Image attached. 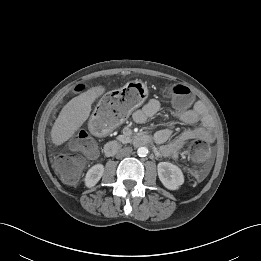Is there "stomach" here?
I'll list each match as a JSON object with an SVG mask.
<instances>
[{"label":"stomach","mask_w":261,"mask_h":261,"mask_svg":"<svg viewBox=\"0 0 261 261\" xmlns=\"http://www.w3.org/2000/svg\"><path fill=\"white\" fill-rule=\"evenodd\" d=\"M148 89L147 86L139 80L128 82L123 89L120 90V97L127 103V115L134 109L138 108L147 98ZM120 122L105 124L100 120L97 114H92L89 121V129L92 134L96 136H104L113 130Z\"/></svg>","instance_id":"1"}]
</instances>
